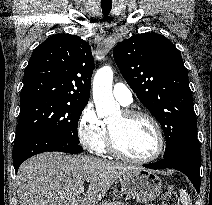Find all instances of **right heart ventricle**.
Masks as SVG:
<instances>
[{
    "instance_id": "1",
    "label": "right heart ventricle",
    "mask_w": 212,
    "mask_h": 205,
    "mask_svg": "<svg viewBox=\"0 0 212 205\" xmlns=\"http://www.w3.org/2000/svg\"><path fill=\"white\" fill-rule=\"evenodd\" d=\"M98 153H107L108 152V146H107V136H105L104 140L96 150Z\"/></svg>"
}]
</instances>
